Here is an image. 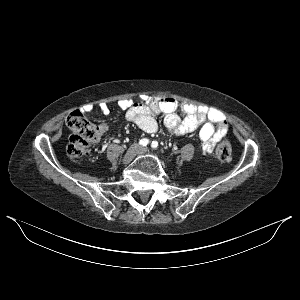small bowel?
<instances>
[{
    "instance_id": "obj_1",
    "label": "small bowel",
    "mask_w": 300,
    "mask_h": 300,
    "mask_svg": "<svg viewBox=\"0 0 300 300\" xmlns=\"http://www.w3.org/2000/svg\"><path fill=\"white\" fill-rule=\"evenodd\" d=\"M117 106L126 111L128 121L146 133L157 132L156 117L159 114H163L164 128L172 135H186L198 130L202 150L206 153L212 152L228 132V124L218 110L169 96H148L139 102L131 99L119 100ZM92 110L91 104L83 107L84 112ZM99 110L104 115L111 111L107 103L99 104ZM107 130L108 124H98L95 140L99 141Z\"/></svg>"
}]
</instances>
